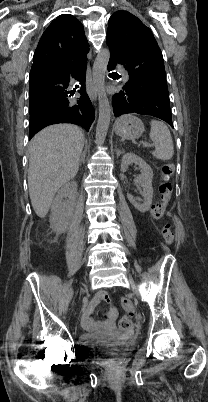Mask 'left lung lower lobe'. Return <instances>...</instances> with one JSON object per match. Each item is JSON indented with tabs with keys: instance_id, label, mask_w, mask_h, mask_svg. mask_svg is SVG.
I'll return each instance as SVG.
<instances>
[{
	"instance_id": "0a47b994",
	"label": "left lung lower lobe",
	"mask_w": 208,
	"mask_h": 402,
	"mask_svg": "<svg viewBox=\"0 0 208 402\" xmlns=\"http://www.w3.org/2000/svg\"><path fill=\"white\" fill-rule=\"evenodd\" d=\"M108 46L110 48L108 70L110 71L117 64H124V58L121 52ZM112 106L115 117L129 113L151 115L164 120L173 127L169 101L129 80L118 93L113 95Z\"/></svg>"
}]
</instances>
